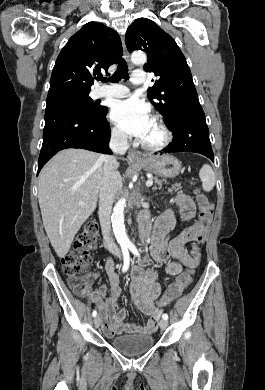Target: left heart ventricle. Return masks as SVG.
Wrapping results in <instances>:
<instances>
[{
    "label": "left heart ventricle",
    "instance_id": "1",
    "mask_svg": "<svg viewBox=\"0 0 265 390\" xmlns=\"http://www.w3.org/2000/svg\"><path fill=\"white\" fill-rule=\"evenodd\" d=\"M161 139V133H160V130L159 128L157 127V125L154 123L153 121V124L148 132V134L146 135V137L143 139V141L147 142V143H156L158 142L159 140Z\"/></svg>",
    "mask_w": 265,
    "mask_h": 390
}]
</instances>
